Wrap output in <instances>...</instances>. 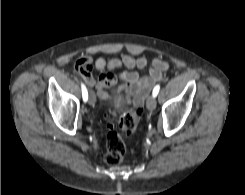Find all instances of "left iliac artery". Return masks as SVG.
<instances>
[{
	"mask_svg": "<svg viewBox=\"0 0 245 195\" xmlns=\"http://www.w3.org/2000/svg\"><path fill=\"white\" fill-rule=\"evenodd\" d=\"M159 90H160V85H156L153 89L152 95L156 97L159 93Z\"/></svg>",
	"mask_w": 245,
	"mask_h": 195,
	"instance_id": "obj_1",
	"label": "left iliac artery"
}]
</instances>
